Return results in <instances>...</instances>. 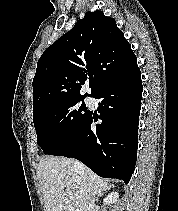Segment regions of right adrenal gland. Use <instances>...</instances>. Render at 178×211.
Wrapping results in <instances>:
<instances>
[{"instance_id": "right-adrenal-gland-1", "label": "right adrenal gland", "mask_w": 178, "mask_h": 211, "mask_svg": "<svg viewBox=\"0 0 178 211\" xmlns=\"http://www.w3.org/2000/svg\"><path fill=\"white\" fill-rule=\"evenodd\" d=\"M111 186H113V185H109V188H111ZM104 192H105V191H104ZM104 192L99 193V194L97 195V197L95 198V200H98V199L104 194Z\"/></svg>"}]
</instances>
